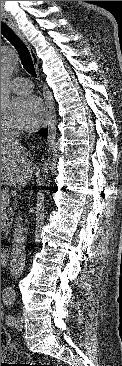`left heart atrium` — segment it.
I'll use <instances>...</instances> for the list:
<instances>
[{
  "mask_svg": "<svg viewBox=\"0 0 122 366\" xmlns=\"http://www.w3.org/2000/svg\"><path fill=\"white\" fill-rule=\"evenodd\" d=\"M44 108L35 96H17L10 103L9 122L19 129L36 127L43 118Z\"/></svg>",
  "mask_w": 122,
  "mask_h": 366,
  "instance_id": "left-heart-atrium-1",
  "label": "left heart atrium"
}]
</instances>
